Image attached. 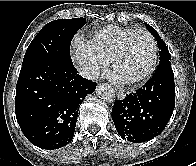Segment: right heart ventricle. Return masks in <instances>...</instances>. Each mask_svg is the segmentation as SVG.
I'll list each match as a JSON object with an SVG mask.
<instances>
[{"label": "right heart ventricle", "mask_w": 196, "mask_h": 166, "mask_svg": "<svg viewBox=\"0 0 196 166\" xmlns=\"http://www.w3.org/2000/svg\"><path fill=\"white\" fill-rule=\"evenodd\" d=\"M132 30L134 28L107 26L96 31L87 41L100 56L111 62L123 39Z\"/></svg>", "instance_id": "right-heart-ventricle-1"}]
</instances>
